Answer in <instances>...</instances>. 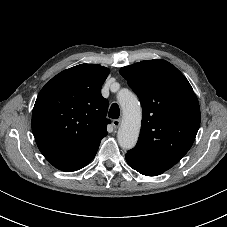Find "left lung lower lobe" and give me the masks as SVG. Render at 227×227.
<instances>
[{"label":"left lung lower lobe","mask_w":227,"mask_h":227,"mask_svg":"<svg viewBox=\"0 0 227 227\" xmlns=\"http://www.w3.org/2000/svg\"><path fill=\"white\" fill-rule=\"evenodd\" d=\"M127 160V163L129 164V166L131 168H133L134 170L138 171L139 173L143 174V175H146V176H157V175H160L162 174L163 172L161 171H157V170H154V169H150V168H147L141 164H138L132 160H129V159H126Z\"/></svg>","instance_id":"0a47b994"}]
</instances>
